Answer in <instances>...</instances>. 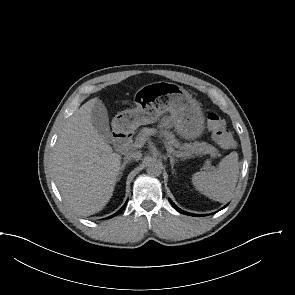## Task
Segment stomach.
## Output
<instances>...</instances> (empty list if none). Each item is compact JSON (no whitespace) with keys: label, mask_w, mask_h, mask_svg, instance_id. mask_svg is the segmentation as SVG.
<instances>
[{"label":"stomach","mask_w":295,"mask_h":295,"mask_svg":"<svg viewBox=\"0 0 295 295\" xmlns=\"http://www.w3.org/2000/svg\"><path fill=\"white\" fill-rule=\"evenodd\" d=\"M136 108L118 114V122L134 130L151 124L166 112L171 114L176 131L187 139L201 135L204 116L192 95L171 82H155L142 87L135 98Z\"/></svg>","instance_id":"0dacf381"}]
</instances>
